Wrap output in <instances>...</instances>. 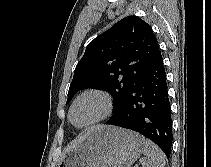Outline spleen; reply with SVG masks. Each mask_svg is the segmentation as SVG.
Listing matches in <instances>:
<instances>
[{"mask_svg": "<svg viewBox=\"0 0 211 167\" xmlns=\"http://www.w3.org/2000/svg\"><path fill=\"white\" fill-rule=\"evenodd\" d=\"M141 164L142 167H165L163 152L150 140H145L144 157Z\"/></svg>", "mask_w": 211, "mask_h": 167, "instance_id": "3e777b00", "label": "spleen"}]
</instances>
